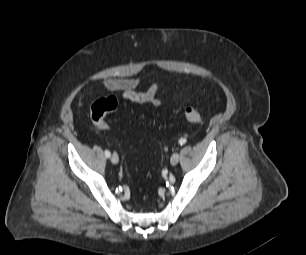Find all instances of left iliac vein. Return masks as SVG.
<instances>
[{"mask_svg": "<svg viewBox=\"0 0 306 255\" xmlns=\"http://www.w3.org/2000/svg\"><path fill=\"white\" fill-rule=\"evenodd\" d=\"M179 158H180L179 154H178V153H174V154L171 156V158H170V163H171V165L175 166V165L178 163Z\"/></svg>", "mask_w": 306, "mask_h": 255, "instance_id": "4c4485c4", "label": "left iliac vein"}]
</instances>
